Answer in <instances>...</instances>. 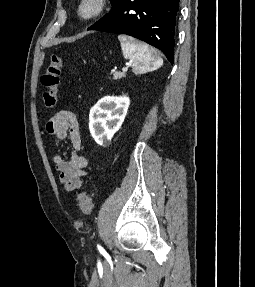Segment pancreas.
<instances>
[{
  "label": "pancreas",
  "instance_id": "pancreas-1",
  "mask_svg": "<svg viewBox=\"0 0 255 287\" xmlns=\"http://www.w3.org/2000/svg\"><path fill=\"white\" fill-rule=\"evenodd\" d=\"M114 80H120V78H125V72H114Z\"/></svg>",
  "mask_w": 255,
  "mask_h": 287
}]
</instances>
